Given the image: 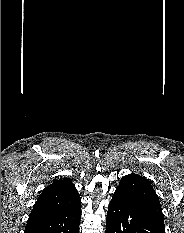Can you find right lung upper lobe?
Listing matches in <instances>:
<instances>
[{"mask_svg":"<svg viewBox=\"0 0 184 233\" xmlns=\"http://www.w3.org/2000/svg\"><path fill=\"white\" fill-rule=\"evenodd\" d=\"M80 205V196L70 180L54 181L38 197L27 223L77 210Z\"/></svg>","mask_w":184,"mask_h":233,"instance_id":"cb5924a9","label":"right lung upper lobe"}]
</instances>
